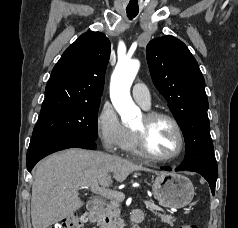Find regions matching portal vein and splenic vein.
<instances>
[{
	"label": "portal vein and splenic vein",
	"instance_id": "obj_1",
	"mask_svg": "<svg viewBox=\"0 0 238 228\" xmlns=\"http://www.w3.org/2000/svg\"><path fill=\"white\" fill-rule=\"evenodd\" d=\"M81 189H88L87 187H82ZM91 191L95 194L101 195L102 197H105L110 200H124L125 195L122 192H117V191H112L110 189H107L105 187H99L95 186L91 188ZM144 204L146 205L147 208L151 210H156V211H162L161 208L156 206L154 203L150 201H144Z\"/></svg>",
	"mask_w": 238,
	"mask_h": 228
}]
</instances>
